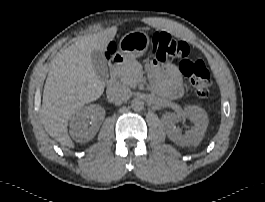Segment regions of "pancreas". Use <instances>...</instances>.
<instances>
[{
	"instance_id": "1",
	"label": "pancreas",
	"mask_w": 265,
	"mask_h": 202,
	"mask_svg": "<svg viewBox=\"0 0 265 202\" xmlns=\"http://www.w3.org/2000/svg\"><path fill=\"white\" fill-rule=\"evenodd\" d=\"M119 80L130 87H136L142 76V66L136 60H127L116 69Z\"/></svg>"
}]
</instances>
